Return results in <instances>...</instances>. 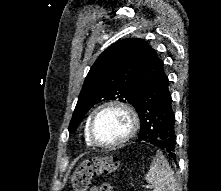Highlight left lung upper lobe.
Here are the masks:
<instances>
[{
    "mask_svg": "<svg viewBox=\"0 0 221 191\" xmlns=\"http://www.w3.org/2000/svg\"><path fill=\"white\" fill-rule=\"evenodd\" d=\"M147 45L143 39L121 40L97 58L84 81L69 131L83 120L92 106L103 100L118 99L134 106V88Z\"/></svg>",
    "mask_w": 221,
    "mask_h": 191,
    "instance_id": "left-lung-upper-lobe-1",
    "label": "left lung upper lobe"
}]
</instances>
